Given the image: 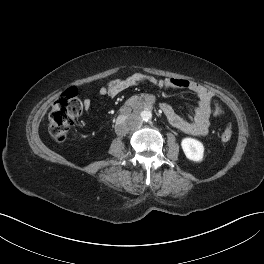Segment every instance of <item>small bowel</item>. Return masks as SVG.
<instances>
[{"label": "small bowel", "mask_w": 264, "mask_h": 264, "mask_svg": "<svg viewBox=\"0 0 264 264\" xmlns=\"http://www.w3.org/2000/svg\"><path fill=\"white\" fill-rule=\"evenodd\" d=\"M142 83H149L158 89H186L194 93L197 97V106L188 118L180 116L171 105L166 103L160 106L161 111L167 121L182 132L196 136L208 133L210 117L213 113L211 108L212 93L194 81L181 78L157 79L146 74L135 73L125 79H115L102 85L99 88V94L103 97L114 98L124 89ZM91 105L89 98L82 101L83 109L87 113L90 111Z\"/></svg>", "instance_id": "c3829d8e"}]
</instances>
